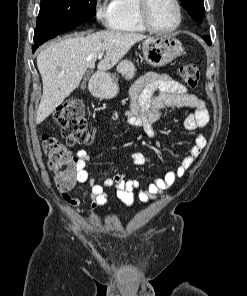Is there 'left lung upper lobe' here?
I'll use <instances>...</instances> for the list:
<instances>
[{"label":"left lung upper lobe","instance_id":"obj_1","mask_svg":"<svg viewBox=\"0 0 247 296\" xmlns=\"http://www.w3.org/2000/svg\"><path fill=\"white\" fill-rule=\"evenodd\" d=\"M183 7L188 11L189 15L196 20L201 22L204 16V4L203 0H180Z\"/></svg>","mask_w":247,"mask_h":296}]
</instances>
